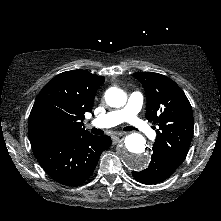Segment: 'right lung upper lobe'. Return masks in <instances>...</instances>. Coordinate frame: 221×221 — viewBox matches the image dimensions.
<instances>
[{"label":"right lung upper lobe","mask_w":221,"mask_h":221,"mask_svg":"<svg viewBox=\"0 0 221 221\" xmlns=\"http://www.w3.org/2000/svg\"><path fill=\"white\" fill-rule=\"evenodd\" d=\"M105 78L86 70H71L51 79L40 91L28 121L31 145L91 135L82 128L97 89Z\"/></svg>","instance_id":"1"}]
</instances>
